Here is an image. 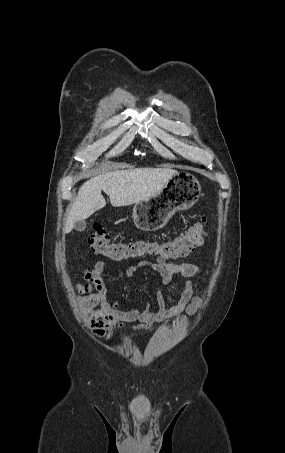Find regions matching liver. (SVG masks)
<instances>
[{"mask_svg": "<svg viewBox=\"0 0 285 453\" xmlns=\"http://www.w3.org/2000/svg\"><path fill=\"white\" fill-rule=\"evenodd\" d=\"M176 173L170 168H133L92 177L80 187L69 210L63 233L71 232L76 221L85 220L105 207L102 190L114 207L136 204L158 193Z\"/></svg>", "mask_w": 285, "mask_h": 453, "instance_id": "6515ba94", "label": "liver"}]
</instances>
